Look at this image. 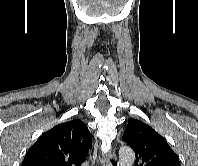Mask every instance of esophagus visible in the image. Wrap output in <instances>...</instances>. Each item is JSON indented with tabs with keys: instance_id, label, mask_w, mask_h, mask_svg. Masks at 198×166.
<instances>
[{
	"instance_id": "esophagus-1",
	"label": "esophagus",
	"mask_w": 198,
	"mask_h": 166,
	"mask_svg": "<svg viewBox=\"0 0 198 166\" xmlns=\"http://www.w3.org/2000/svg\"><path fill=\"white\" fill-rule=\"evenodd\" d=\"M107 166H119L118 159L114 153H109L107 157Z\"/></svg>"
}]
</instances>
